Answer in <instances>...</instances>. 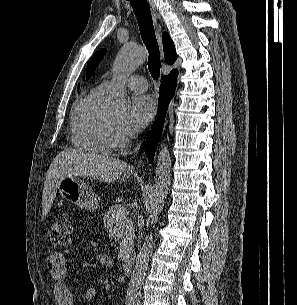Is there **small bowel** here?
<instances>
[{"instance_id":"1","label":"small bowel","mask_w":297,"mask_h":305,"mask_svg":"<svg viewBox=\"0 0 297 305\" xmlns=\"http://www.w3.org/2000/svg\"><path fill=\"white\" fill-rule=\"evenodd\" d=\"M102 264L112 267V261L106 255L97 256ZM47 266L53 280V291L59 305H76L73 293L67 281L66 261L63 254L54 252L47 256ZM98 293L96 288L86 292V299L91 301Z\"/></svg>"}]
</instances>
